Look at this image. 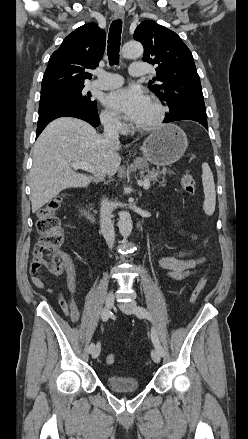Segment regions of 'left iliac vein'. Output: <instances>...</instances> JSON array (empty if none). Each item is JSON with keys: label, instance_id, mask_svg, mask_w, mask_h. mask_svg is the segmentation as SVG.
<instances>
[{"label": "left iliac vein", "instance_id": "1", "mask_svg": "<svg viewBox=\"0 0 248 439\" xmlns=\"http://www.w3.org/2000/svg\"><path fill=\"white\" fill-rule=\"evenodd\" d=\"M120 309L127 313V314H136L135 308L137 307V304L135 302H129L124 304H119ZM137 315V314H136ZM151 357L155 363H159L161 360V355L157 351V349H153L151 351Z\"/></svg>", "mask_w": 248, "mask_h": 439}]
</instances>
